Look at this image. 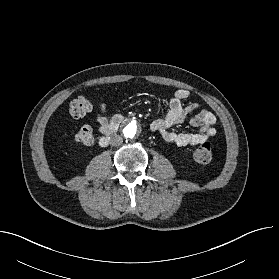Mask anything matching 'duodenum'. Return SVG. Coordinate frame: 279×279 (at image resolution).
<instances>
[{
	"label": "duodenum",
	"mask_w": 279,
	"mask_h": 279,
	"mask_svg": "<svg viewBox=\"0 0 279 279\" xmlns=\"http://www.w3.org/2000/svg\"><path fill=\"white\" fill-rule=\"evenodd\" d=\"M123 122V117L115 116L110 123L107 132L100 138L99 144L106 147L109 144L110 137L118 130L120 124Z\"/></svg>",
	"instance_id": "obj_1"
}]
</instances>
